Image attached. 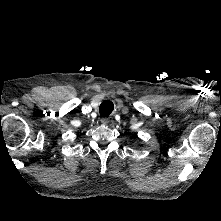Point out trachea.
<instances>
[{"instance_id":"3493384b","label":"trachea","mask_w":221,"mask_h":221,"mask_svg":"<svg viewBox=\"0 0 221 221\" xmlns=\"http://www.w3.org/2000/svg\"><path fill=\"white\" fill-rule=\"evenodd\" d=\"M114 105L111 101H104L99 107L101 117H107L113 111Z\"/></svg>"}]
</instances>
